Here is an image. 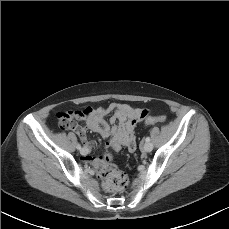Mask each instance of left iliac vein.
Segmentation results:
<instances>
[{
    "label": "left iliac vein",
    "instance_id": "left-iliac-vein-1",
    "mask_svg": "<svg viewBox=\"0 0 229 229\" xmlns=\"http://www.w3.org/2000/svg\"><path fill=\"white\" fill-rule=\"evenodd\" d=\"M152 149H153V144H152V143L146 142V143L144 144V150H145L146 152H151Z\"/></svg>",
    "mask_w": 229,
    "mask_h": 229
}]
</instances>
